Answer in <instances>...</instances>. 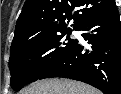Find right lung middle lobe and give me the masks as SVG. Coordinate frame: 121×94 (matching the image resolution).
<instances>
[{
    "label": "right lung middle lobe",
    "instance_id": "obj_1",
    "mask_svg": "<svg viewBox=\"0 0 121 94\" xmlns=\"http://www.w3.org/2000/svg\"><path fill=\"white\" fill-rule=\"evenodd\" d=\"M71 32L72 29L50 33L34 31L11 45V87L19 91L25 85L38 80L52 65L62 59L77 42L70 38ZM53 48L54 51L42 57Z\"/></svg>",
    "mask_w": 121,
    "mask_h": 94
}]
</instances>
